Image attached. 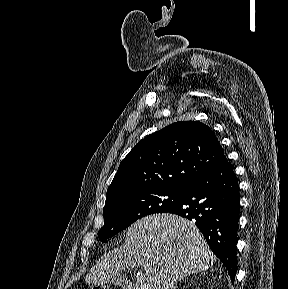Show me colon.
I'll return each instance as SVG.
<instances>
[{"label":"colon","mask_w":288,"mask_h":289,"mask_svg":"<svg viewBox=\"0 0 288 289\" xmlns=\"http://www.w3.org/2000/svg\"><path fill=\"white\" fill-rule=\"evenodd\" d=\"M95 289H106V288L97 287V288H95Z\"/></svg>","instance_id":"obj_1"}]
</instances>
